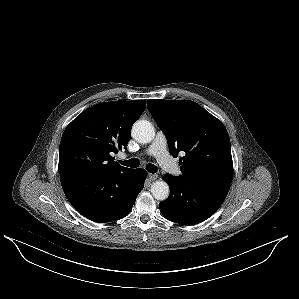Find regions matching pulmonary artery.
<instances>
[{"mask_svg": "<svg viewBox=\"0 0 299 299\" xmlns=\"http://www.w3.org/2000/svg\"><path fill=\"white\" fill-rule=\"evenodd\" d=\"M144 153L154 156L161 167L169 173H178V164L170 157L167 150V139L163 132H157L152 143L146 148Z\"/></svg>", "mask_w": 299, "mask_h": 299, "instance_id": "e3ab8cb5", "label": "pulmonary artery"}]
</instances>
